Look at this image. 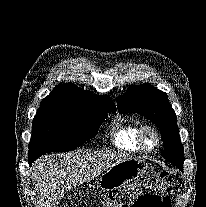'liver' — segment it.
<instances>
[{
    "instance_id": "obj_1",
    "label": "liver",
    "mask_w": 206,
    "mask_h": 207,
    "mask_svg": "<svg viewBox=\"0 0 206 207\" xmlns=\"http://www.w3.org/2000/svg\"><path fill=\"white\" fill-rule=\"evenodd\" d=\"M130 158L132 156L116 152L76 150L37 159L32 167L31 178L40 206L56 207L67 191Z\"/></svg>"
}]
</instances>
